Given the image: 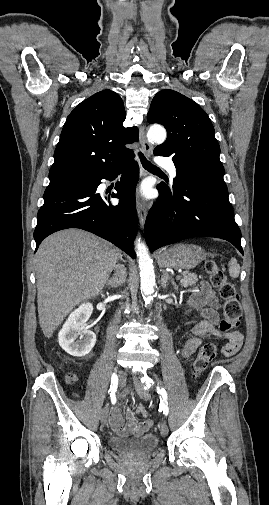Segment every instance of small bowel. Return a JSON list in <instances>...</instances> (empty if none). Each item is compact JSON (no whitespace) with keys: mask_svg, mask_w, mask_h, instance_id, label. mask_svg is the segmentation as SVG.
Wrapping results in <instances>:
<instances>
[{"mask_svg":"<svg viewBox=\"0 0 269 505\" xmlns=\"http://www.w3.org/2000/svg\"><path fill=\"white\" fill-rule=\"evenodd\" d=\"M189 308L199 311V320L194 324L193 334L181 350L184 358L191 356L210 335L225 336L228 339V343L223 348L225 356H232L239 351L243 342L242 334L239 332L223 334L217 329L219 321L217 299L206 282H202L199 289L190 298ZM125 417L126 422L124 423L119 408H112L110 425L113 431L119 435L137 437L149 430L153 424L152 420L139 422L131 408L126 409Z\"/></svg>","mask_w":269,"mask_h":505,"instance_id":"obj_1","label":"small bowel"}]
</instances>
